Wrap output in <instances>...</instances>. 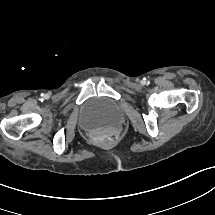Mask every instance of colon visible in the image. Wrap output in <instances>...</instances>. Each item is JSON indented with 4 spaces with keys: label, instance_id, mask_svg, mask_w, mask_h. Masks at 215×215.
Returning <instances> with one entry per match:
<instances>
[{
    "label": "colon",
    "instance_id": "obj_1",
    "mask_svg": "<svg viewBox=\"0 0 215 215\" xmlns=\"http://www.w3.org/2000/svg\"><path fill=\"white\" fill-rule=\"evenodd\" d=\"M106 140H107V138H101V139H99V142L102 143L103 145H105Z\"/></svg>",
    "mask_w": 215,
    "mask_h": 215
}]
</instances>
